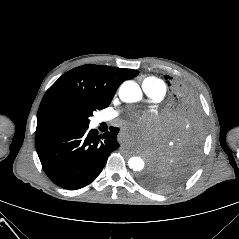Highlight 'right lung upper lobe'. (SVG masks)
<instances>
[{"label":"right lung upper lobe","instance_id":"1","mask_svg":"<svg viewBox=\"0 0 239 239\" xmlns=\"http://www.w3.org/2000/svg\"><path fill=\"white\" fill-rule=\"evenodd\" d=\"M138 74L133 69L92 64L66 72L40 103L35 137L69 129L96 109L108 107L119 85Z\"/></svg>","mask_w":239,"mask_h":239}]
</instances>
